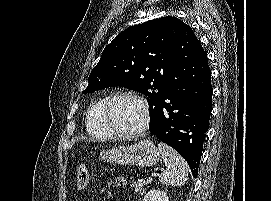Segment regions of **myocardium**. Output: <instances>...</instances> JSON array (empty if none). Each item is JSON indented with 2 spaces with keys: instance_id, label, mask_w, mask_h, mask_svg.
<instances>
[{
  "instance_id": "1",
  "label": "myocardium",
  "mask_w": 271,
  "mask_h": 201,
  "mask_svg": "<svg viewBox=\"0 0 271 201\" xmlns=\"http://www.w3.org/2000/svg\"><path fill=\"white\" fill-rule=\"evenodd\" d=\"M122 96H128V97H132L135 100H137L142 109H143V114H144V118H143V122L142 124L135 130L132 131H122L120 129H118L115 124L112 121L111 118V106L113 104V102ZM102 118L103 121L105 123V125L107 126V128L114 133L116 136L119 137H135L138 136L140 134H142L143 132H145L151 122V112H150V108H149V104L147 102V100L138 92L134 91V90H129V89H122V90H118L114 93H112L105 101L103 109H102Z\"/></svg>"
}]
</instances>
